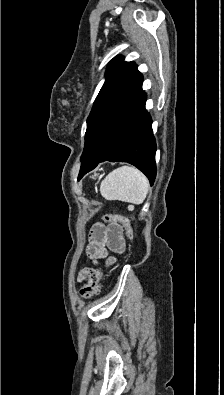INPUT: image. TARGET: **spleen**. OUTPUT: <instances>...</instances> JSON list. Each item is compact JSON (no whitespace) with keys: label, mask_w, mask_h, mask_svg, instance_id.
<instances>
[{"label":"spleen","mask_w":224,"mask_h":395,"mask_svg":"<svg viewBox=\"0 0 224 395\" xmlns=\"http://www.w3.org/2000/svg\"><path fill=\"white\" fill-rule=\"evenodd\" d=\"M149 190L147 177L133 166H122L110 172L101 182L100 193L106 200L141 204Z\"/></svg>","instance_id":"1"}]
</instances>
